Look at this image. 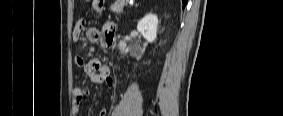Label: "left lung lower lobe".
Returning a JSON list of instances; mask_svg holds the SVG:
<instances>
[{
	"label": "left lung lower lobe",
	"instance_id": "obj_1",
	"mask_svg": "<svg viewBox=\"0 0 283 116\" xmlns=\"http://www.w3.org/2000/svg\"><path fill=\"white\" fill-rule=\"evenodd\" d=\"M182 2H183V7H185L187 2H188V0H182Z\"/></svg>",
	"mask_w": 283,
	"mask_h": 116
}]
</instances>
